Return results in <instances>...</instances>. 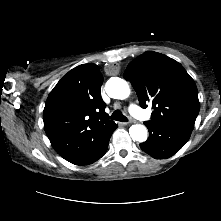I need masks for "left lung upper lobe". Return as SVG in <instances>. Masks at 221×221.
<instances>
[{
    "label": "left lung upper lobe",
    "mask_w": 221,
    "mask_h": 221,
    "mask_svg": "<svg viewBox=\"0 0 221 221\" xmlns=\"http://www.w3.org/2000/svg\"><path fill=\"white\" fill-rule=\"evenodd\" d=\"M124 78L133 85L142 108L152 103L151 121L194 126L199 113L198 91L180 63L147 51L129 63Z\"/></svg>",
    "instance_id": "1"
}]
</instances>
